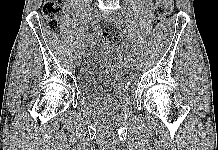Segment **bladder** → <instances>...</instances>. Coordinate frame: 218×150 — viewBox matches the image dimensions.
Wrapping results in <instances>:
<instances>
[{
	"label": "bladder",
	"mask_w": 218,
	"mask_h": 150,
	"mask_svg": "<svg viewBox=\"0 0 218 150\" xmlns=\"http://www.w3.org/2000/svg\"><path fill=\"white\" fill-rule=\"evenodd\" d=\"M78 79L82 91L87 96L104 99L114 93L119 100L124 98L122 74L109 47L100 44H92L89 47Z\"/></svg>",
	"instance_id": "bladder-1"
}]
</instances>
